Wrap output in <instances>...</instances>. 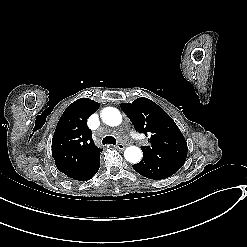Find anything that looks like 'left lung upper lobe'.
Wrapping results in <instances>:
<instances>
[{"label":"left lung upper lobe","mask_w":247,"mask_h":247,"mask_svg":"<svg viewBox=\"0 0 247 247\" xmlns=\"http://www.w3.org/2000/svg\"><path fill=\"white\" fill-rule=\"evenodd\" d=\"M135 129L149 136L144 155H152L177 167H182L187 157V143L173 119L148 98H138L121 104Z\"/></svg>","instance_id":"5c2ea615"}]
</instances>
